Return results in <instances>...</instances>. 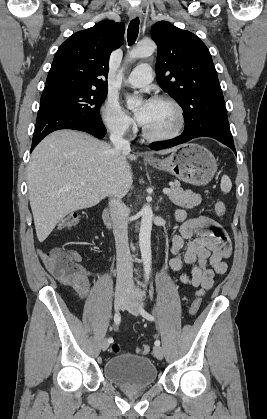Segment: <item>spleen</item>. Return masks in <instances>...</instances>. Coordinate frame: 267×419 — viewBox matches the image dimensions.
I'll return each instance as SVG.
<instances>
[{
  "instance_id": "3e777b00",
  "label": "spleen",
  "mask_w": 267,
  "mask_h": 419,
  "mask_svg": "<svg viewBox=\"0 0 267 419\" xmlns=\"http://www.w3.org/2000/svg\"><path fill=\"white\" fill-rule=\"evenodd\" d=\"M220 187H221V191L222 192H224V193L230 192V190L232 188V182H231L230 178L227 175H224L221 178Z\"/></svg>"
}]
</instances>
